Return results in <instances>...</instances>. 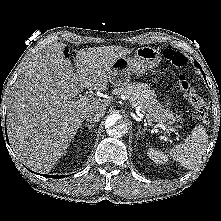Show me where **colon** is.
<instances>
[{
    "mask_svg": "<svg viewBox=\"0 0 221 221\" xmlns=\"http://www.w3.org/2000/svg\"><path fill=\"white\" fill-rule=\"evenodd\" d=\"M163 55L167 61L172 63L177 68L182 69L187 63L186 57L182 53L177 52L173 49H165ZM178 83L184 96L193 105L194 113L197 119L204 125H208V106L203 98L196 92L195 88L189 80L188 75L184 71L180 72L178 76Z\"/></svg>",
    "mask_w": 221,
    "mask_h": 221,
    "instance_id": "1",
    "label": "colon"
}]
</instances>
